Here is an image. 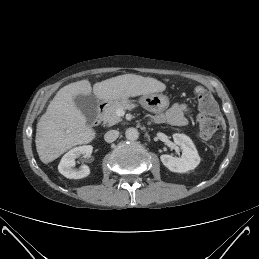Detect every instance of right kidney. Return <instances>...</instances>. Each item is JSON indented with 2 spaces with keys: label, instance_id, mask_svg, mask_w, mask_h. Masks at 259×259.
I'll list each match as a JSON object with an SVG mask.
<instances>
[{
  "label": "right kidney",
  "instance_id": "right-kidney-1",
  "mask_svg": "<svg viewBox=\"0 0 259 259\" xmlns=\"http://www.w3.org/2000/svg\"><path fill=\"white\" fill-rule=\"evenodd\" d=\"M93 147L91 145H83L75 147L68 151L61 159L58 165V171L69 179H81L90 174V169L87 165H82L79 170L73 169L75 166V159L81 155L90 156Z\"/></svg>",
  "mask_w": 259,
  "mask_h": 259
}]
</instances>
